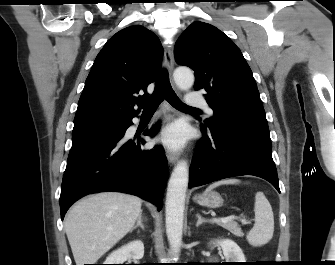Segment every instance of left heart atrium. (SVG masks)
<instances>
[{
    "label": "left heart atrium",
    "mask_w": 335,
    "mask_h": 265,
    "mask_svg": "<svg viewBox=\"0 0 335 265\" xmlns=\"http://www.w3.org/2000/svg\"><path fill=\"white\" fill-rule=\"evenodd\" d=\"M186 136L185 127L180 123H175L161 133L160 141L170 148L177 149L184 145Z\"/></svg>",
    "instance_id": "obj_1"
}]
</instances>
